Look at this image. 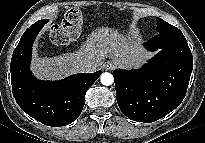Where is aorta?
<instances>
[{
    "label": "aorta",
    "instance_id": "762f6f07",
    "mask_svg": "<svg viewBox=\"0 0 205 143\" xmlns=\"http://www.w3.org/2000/svg\"><path fill=\"white\" fill-rule=\"evenodd\" d=\"M101 83L105 86L112 85L114 82V77L111 73L105 72L100 76Z\"/></svg>",
    "mask_w": 205,
    "mask_h": 143
}]
</instances>
